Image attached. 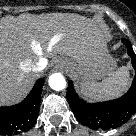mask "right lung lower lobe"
Here are the masks:
<instances>
[{
	"instance_id": "98d812e1",
	"label": "right lung lower lobe",
	"mask_w": 136,
	"mask_h": 136,
	"mask_svg": "<svg viewBox=\"0 0 136 136\" xmlns=\"http://www.w3.org/2000/svg\"><path fill=\"white\" fill-rule=\"evenodd\" d=\"M42 86L43 79H39L24 101L0 107V135L20 134L34 125L40 109Z\"/></svg>"
}]
</instances>
